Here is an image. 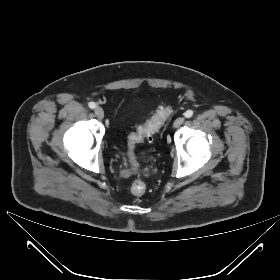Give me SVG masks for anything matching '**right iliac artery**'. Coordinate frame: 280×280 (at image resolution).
Returning <instances> with one entry per match:
<instances>
[{
  "mask_svg": "<svg viewBox=\"0 0 280 280\" xmlns=\"http://www.w3.org/2000/svg\"><path fill=\"white\" fill-rule=\"evenodd\" d=\"M88 105L91 109H94L96 107V104L94 102H90Z\"/></svg>",
  "mask_w": 280,
  "mask_h": 280,
  "instance_id": "obj_1",
  "label": "right iliac artery"
}]
</instances>
